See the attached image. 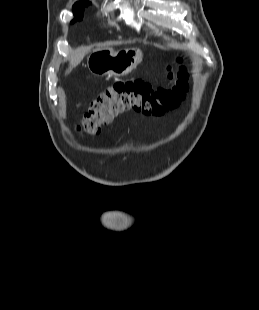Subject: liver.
<instances>
[{"label": "liver", "mask_w": 259, "mask_h": 310, "mask_svg": "<svg viewBox=\"0 0 259 310\" xmlns=\"http://www.w3.org/2000/svg\"><path fill=\"white\" fill-rule=\"evenodd\" d=\"M88 51H89L88 47L78 48L74 52L73 56L70 58L69 67L66 70L65 74H69L71 70L75 68L82 61V59L84 58L85 54L88 53Z\"/></svg>", "instance_id": "obj_1"}]
</instances>
